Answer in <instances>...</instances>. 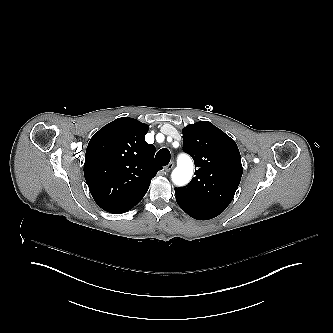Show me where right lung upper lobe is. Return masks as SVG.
Returning a JSON list of instances; mask_svg holds the SVG:
<instances>
[{
	"label": "right lung upper lobe",
	"mask_w": 333,
	"mask_h": 333,
	"mask_svg": "<svg viewBox=\"0 0 333 333\" xmlns=\"http://www.w3.org/2000/svg\"><path fill=\"white\" fill-rule=\"evenodd\" d=\"M148 125L122 117L95 133L87 146L84 175L98 205L112 203L128 186L144 188L162 169L145 141Z\"/></svg>",
	"instance_id": "1"
}]
</instances>
